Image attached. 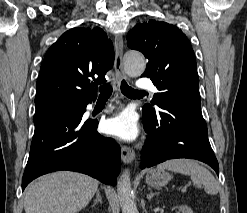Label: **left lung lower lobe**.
<instances>
[{
    "mask_svg": "<svg viewBox=\"0 0 247 213\" xmlns=\"http://www.w3.org/2000/svg\"><path fill=\"white\" fill-rule=\"evenodd\" d=\"M151 120H143L147 139L140 167H151L169 159L189 158L210 165L219 175L218 161L208 140L201 107L182 99L168 98Z\"/></svg>",
    "mask_w": 247,
    "mask_h": 213,
    "instance_id": "1",
    "label": "left lung lower lobe"
}]
</instances>
